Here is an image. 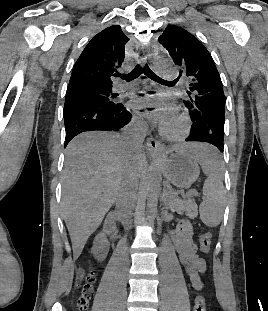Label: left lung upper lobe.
Listing matches in <instances>:
<instances>
[{"instance_id": "1", "label": "left lung upper lobe", "mask_w": 268, "mask_h": 311, "mask_svg": "<svg viewBox=\"0 0 268 311\" xmlns=\"http://www.w3.org/2000/svg\"><path fill=\"white\" fill-rule=\"evenodd\" d=\"M158 40L180 68V75L188 78L189 99L184 103L192 121L203 115L209 106L225 105L223 85L214 60L194 35L181 27L169 25Z\"/></svg>"}]
</instances>
